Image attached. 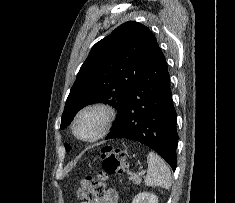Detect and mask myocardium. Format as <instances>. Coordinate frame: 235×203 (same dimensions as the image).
I'll list each match as a JSON object with an SVG mask.
<instances>
[{
    "label": "myocardium",
    "instance_id": "f54148a6",
    "mask_svg": "<svg viewBox=\"0 0 235 203\" xmlns=\"http://www.w3.org/2000/svg\"><path fill=\"white\" fill-rule=\"evenodd\" d=\"M90 111H98L102 114L103 116L102 124L97 134L89 138H83L79 135L77 131V123L82 115ZM115 116H116L115 109L107 103L94 102V103L87 104L83 106L74 116L73 121H72V132L77 139L83 142L91 143V142L98 141L99 139H101L103 136H105L108 133L115 119Z\"/></svg>",
    "mask_w": 235,
    "mask_h": 203
}]
</instances>
